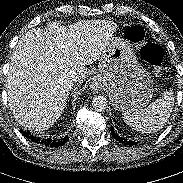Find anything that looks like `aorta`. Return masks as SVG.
Returning a JSON list of instances; mask_svg holds the SVG:
<instances>
[{"label": "aorta", "instance_id": "aorta-1", "mask_svg": "<svg viewBox=\"0 0 183 183\" xmlns=\"http://www.w3.org/2000/svg\"><path fill=\"white\" fill-rule=\"evenodd\" d=\"M92 106L96 111H104L108 106V101L104 96L98 95L93 98Z\"/></svg>", "mask_w": 183, "mask_h": 183}]
</instances>
